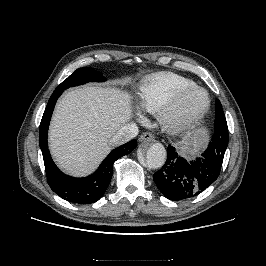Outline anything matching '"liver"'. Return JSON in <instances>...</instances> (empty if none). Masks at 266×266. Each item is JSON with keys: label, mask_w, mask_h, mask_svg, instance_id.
I'll list each match as a JSON object with an SVG mask.
<instances>
[{"label": "liver", "mask_w": 266, "mask_h": 266, "mask_svg": "<svg viewBox=\"0 0 266 266\" xmlns=\"http://www.w3.org/2000/svg\"><path fill=\"white\" fill-rule=\"evenodd\" d=\"M131 117V96L118 89L84 86L66 92L49 130L55 161L71 175L91 173L109 153L112 136Z\"/></svg>", "instance_id": "6515ba94"}]
</instances>
